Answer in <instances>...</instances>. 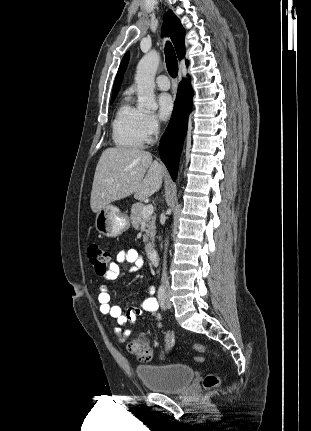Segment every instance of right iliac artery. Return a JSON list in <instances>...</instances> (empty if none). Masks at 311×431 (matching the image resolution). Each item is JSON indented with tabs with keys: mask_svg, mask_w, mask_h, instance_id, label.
I'll use <instances>...</instances> for the list:
<instances>
[{
	"mask_svg": "<svg viewBox=\"0 0 311 431\" xmlns=\"http://www.w3.org/2000/svg\"><path fill=\"white\" fill-rule=\"evenodd\" d=\"M158 299H159L161 308L163 310H165L166 309V302H165V290H164L163 286L159 287Z\"/></svg>",
	"mask_w": 311,
	"mask_h": 431,
	"instance_id": "82829eb1",
	"label": "right iliac artery"
}]
</instances>
